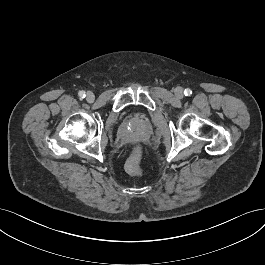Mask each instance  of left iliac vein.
<instances>
[{
	"instance_id": "left-iliac-vein-1",
	"label": "left iliac vein",
	"mask_w": 265,
	"mask_h": 265,
	"mask_svg": "<svg viewBox=\"0 0 265 265\" xmlns=\"http://www.w3.org/2000/svg\"><path fill=\"white\" fill-rule=\"evenodd\" d=\"M175 95L178 98H182L183 97V89L181 87H177L176 90H175Z\"/></svg>"
}]
</instances>
